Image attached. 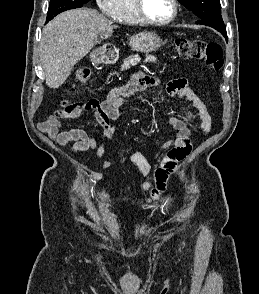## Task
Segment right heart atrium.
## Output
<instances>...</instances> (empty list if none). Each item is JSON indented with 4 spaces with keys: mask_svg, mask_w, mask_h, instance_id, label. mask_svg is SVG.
<instances>
[{
    "mask_svg": "<svg viewBox=\"0 0 259 294\" xmlns=\"http://www.w3.org/2000/svg\"><path fill=\"white\" fill-rule=\"evenodd\" d=\"M96 3L104 15L114 17L118 10L120 0H96Z\"/></svg>",
    "mask_w": 259,
    "mask_h": 294,
    "instance_id": "1",
    "label": "right heart atrium"
}]
</instances>
